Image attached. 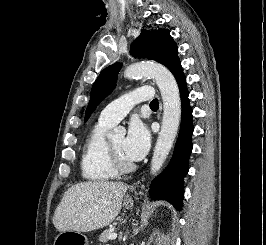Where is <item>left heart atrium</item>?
Here are the masks:
<instances>
[{"instance_id":"1","label":"left heart atrium","mask_w":266,"mask_h":245,"mask_svg":"<svg viewBox=\"0 0 266 245\" xmlns=\"http://www.w3.org/2000/svg\"><path fill=\"white\" fill-rule=\"evenodd\" d=\"M149 144L150 134L147 127L139 120L131 121L123 141V152L128 160L131 163L140 161Z\"/></svg>"}]
</instances>
